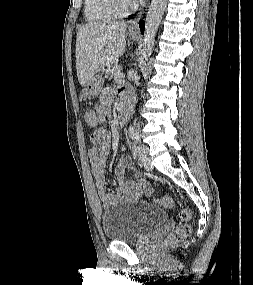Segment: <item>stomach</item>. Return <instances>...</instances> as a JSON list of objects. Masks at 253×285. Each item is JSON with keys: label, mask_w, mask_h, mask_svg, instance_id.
<instances>
[{"label": "stomach", "mask_w": 253, "mask_h": 285, "mask_svg": "<svg viewBox=\"0 0 253 285\" xmlns=\"http://www.w3.org/2000/svg\"><path fill=\"white\" fill-rule=\"evenodd\" d=\"M130 37L133 39L136 37L135 33H129ZM104 80L102 79L101 76L96 75L93 76L88 83L83 86V90L81 92V96L83 99H92L100 93L102 86H103Z\"/></svg>", "instance_id": "obj_1"}]
</instances>
